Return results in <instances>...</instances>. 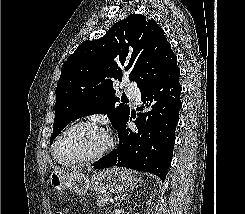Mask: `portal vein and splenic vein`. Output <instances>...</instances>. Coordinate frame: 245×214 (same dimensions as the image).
<instances>
[{
    "label": "portal vein and splenic vein",
    "instance_id": "obj_1",
    "mask_svg": "<svg viewBox=\"0 0 245 214\" xmlns=\"http://www.w3.org/2000/svg\"><path fill=\"white\" fill-rule=\"evenodd\" d=\"M110 202H111V203H114V199L111 198V199H110Z\"/></svg>",
    "mask_w": 245,
    "mask_h": 214
}]
</instances>
